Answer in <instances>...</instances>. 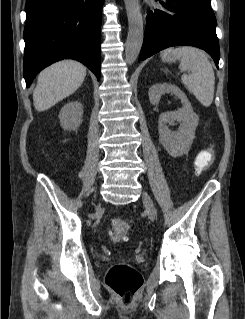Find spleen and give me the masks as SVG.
Here are the masks:
<instances>
[{"instance_id":"1","label":"spleen","mask_w":245,"mask_h":319,"mask_svg":"<svg viewBox=\"0 0 245 319\" xmlns=\"http://www.w3.org/2000/svg\"><path fill=\"white\" fill-rule=\"evenodd\" d=\"M181 62L179 68L188 72L181 80L196 99L205 107H209L214 98L215 75L207 55L200 49L181 46L172 51Z\"/></svg>"}]
</instances>
